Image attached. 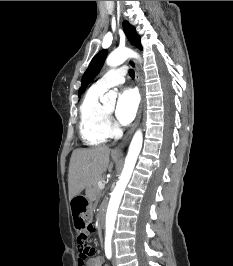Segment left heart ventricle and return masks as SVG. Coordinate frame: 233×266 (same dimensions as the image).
<instances>
[{
    "mask_svg": "<svg viewBox=\"0 0 233 266\" xmlns=\"http://www.w3.org/2000/svg\"><path fill=\"white\" fill-rule=\"evenodd\" d=\"M106 109H107V111L112 112L114 109V105H110Z\"/></svg>",
    "mask_w": 233,
    "mask_h": 266,
    "instance_id": "1",
    "label": "left heart ventricle"
}]
</instances>
